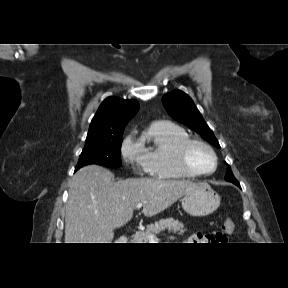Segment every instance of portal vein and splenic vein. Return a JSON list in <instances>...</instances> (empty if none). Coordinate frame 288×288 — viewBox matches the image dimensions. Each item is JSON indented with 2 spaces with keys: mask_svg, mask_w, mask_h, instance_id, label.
<instances>
[{
  "mask_svg": "<svg viewBox=\"0 0 288 288\" xmlns=\"http://www.w3.org/2000/svg\"><path fill=\"white\" fill-rule=\"evenodd\" d=\"M142 205H143V203H138L137 205H136V209H140L141 207H142ZM157 238H156V236L154 235V234H152V235H150L149 236V241H154V240H156Z\"/></svg>",
  "mask_w": 288,
  "mask_h": 288,
  "instance_id": "18ae733b",
  "label": "portal vein and splenic vein"
}]
</instances>
